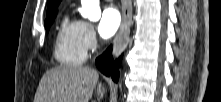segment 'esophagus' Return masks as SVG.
<instances>
[{
    "instance_id": "obj_1",
    "label": "esophagus",
    "mask_w": 221,
    "mask_h": 102,
    "mask_svg": "<svg viewBox=\"0 0 221 102\" xmlns=\"http://www.w3.org/2000/svg\"><path fill=\"white\" fill-rule=\"evenodd\" d=\"M132 24V3L131 0L123 2V16L119 32L114 40L113 53L119 56L127 46Z\"/></svg>"
}]
</instances>
